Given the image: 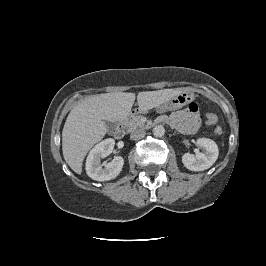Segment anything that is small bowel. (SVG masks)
<instances>
[{
    "mask_svg": "<svg viewBox=\"0 0 266 266\" xmlns=\"http://www.w3.org/2000/svg\"><path fill=\"white\" fill-rule=\"evenodd\" d=\"M158 120L169 124L183 134H193L200 126V116L195 103L169 115L160 116Z\"/></svg>",
    "mask_w": 266,
    "mask_h": 266,
    "instance_id": "small-bowel-1",
    "label": "small bowel"
}]
</instances>
